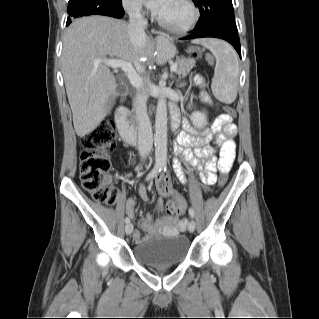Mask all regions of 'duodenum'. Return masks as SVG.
Instances as JSON below:
<instances>
[{"label": "duodenum", "instance_id": "obj_1", "mask_svg": "<svg viewBox=\"0 0 319 319\" xmlns=\"http://www.w3.org/2000/svg\"><path fill=\"white\" fill-rule=\"evenodd\" d=\"M116 123L119 134L124 143L128 145H136L140 141V131L132 122L129 110L120 106L116 112ZM178 124L176 121L172 122V130H176Z\"/></svg>", "mask_w": 319, "mask_h": 319}]
</instances>
